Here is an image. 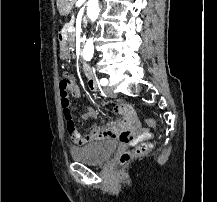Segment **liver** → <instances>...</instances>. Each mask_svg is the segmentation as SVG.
<instances>
[{"instance_id": "obj_1", "label": "liver", "mask_w": 217, "mask_h": 202, "mask_svg": "<svg viewBox=\"0 0 217 202\" xmlns=\"http://www.w3.org/2000/svg\"><path fill=\"white\" fill-rule=\"evenodd\" d=\"M77 0H57V8L61 16H68Z\"/></svg>"}]
</instances>
